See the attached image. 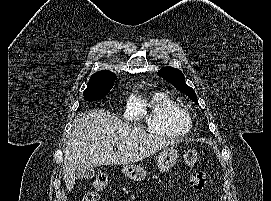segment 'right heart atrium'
<instances>
[{
    "label": "right heart atrium",
    "instance_id": "1",
    "mask_svg": "<svg viewBox=\"0 0 271 201\" xmlns=\"http://www.w3.org/2000/svg\"><path fill=\"white\" fill-rule=\"evenodd\" d=\"M125 117L132 121H137L141 117V108L136 100L128 102Z\"/></svg>",
    "mask_w": 271,
    "mask_h": 201
}]
</instances>
